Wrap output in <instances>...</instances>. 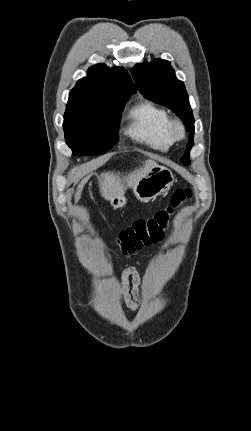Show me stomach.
Here are the masks:
<instances>
[{"mask_svg": "<svg viewBox=\"0 0 251 431\" xmlns=\"http://www.w3.org/2000/svg\"><path fill=\"white\" fill-rule=\"evenodd\" d=\"M173 182L172 171L167 167L156 165L137 181L133 187V192L138 200L149 202L167 192ZM110 204L114 209L123 208L126 204V198L124 195L113 197Z\"/></svg>", "mask_w": 251, "mask_h": 431, "instance_id": "0dacf381", "label": "stomach"}]
</instances>
